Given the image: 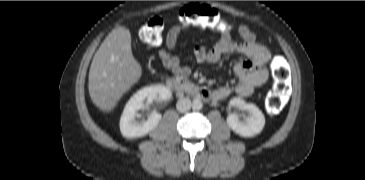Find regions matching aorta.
Masks as SVG:
<instances>
[{
	"label": "aorta",
	"instance_id": "1",
	"mask_svg": "<svg viewBox=\"0 0 365 180\" xmlns=\"http://www.w3.org/2000/svg\"><path fill=\"white\" fill-rule=\"evenodd\" d=\"M191 107H192V109H193V110H195V111H199V110H201V109H202V107H203V103H202V101H201V100H199V99H195V100H193V102H192V104H191Z\"/></svg>",
	"mask_w": 365,
	"mask_h": 180
}]
</instances>
